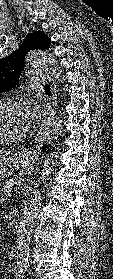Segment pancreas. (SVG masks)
I'll return each instance as SVG.
<instances>
[{"instance_id": "1", "label": "pancreas", "mask_w": 113, "mask_h": 279, "mask_svg": "<svg viewBox=\"0 0 113 279\" xmlns=\"http://www.w3.org/2000/svg\"><path fill=\"white\" fill-rule=\"evenodd\" d=\"M23 176V173H19L14 175L10 180L6 181L5 186L2 188L4 197H7L11 194V192L13 191V187L22 181Z\"/></svg>"}]
</instances>
